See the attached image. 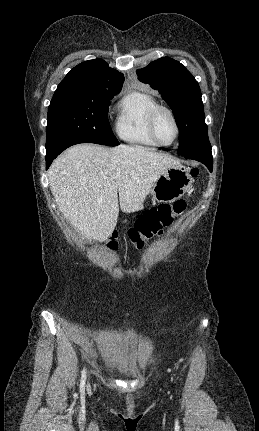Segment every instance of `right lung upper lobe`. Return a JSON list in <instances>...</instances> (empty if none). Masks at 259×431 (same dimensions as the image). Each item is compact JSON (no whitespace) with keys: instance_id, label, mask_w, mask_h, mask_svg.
<instances>
[{"instance_id":"right-lung-upper-lobe-1","label":"right lung upper lobe","mask_w":259,"mask_h":431,"mask_svg":"<svg viewBox=\"0 0 259 431\" xmlns=\"http://www.w3.org/2000/svg\"><path fill=\"white\" fill-rule=\"evenodd\" d=\"M123 82V74L110 68L102 59L88 60L69 71L55 92L87 95L119 92Z\"/></svg>"}]
</instances>
